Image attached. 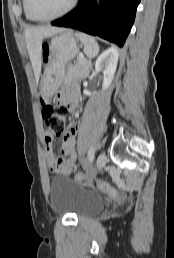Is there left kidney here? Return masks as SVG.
<instances>
[{"label": "left kidney", "mask_w": 174, "mask_h": 258, "mask_svg": "<svg viewBox=\"0 0 174 258\" xmlns=\"http://www.w3.org/2000/svg\"><path fill=\"white\" fill-rule=\"evenodd\" d=\"M118 49L116 47H110L105 50L96 60L95 70L102 71L104 75V80L102 84V89L106 90L113 78L117 68L118 63Z\"/></svg>", "instance_id": "obj_1"}]
</instances>
